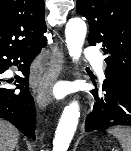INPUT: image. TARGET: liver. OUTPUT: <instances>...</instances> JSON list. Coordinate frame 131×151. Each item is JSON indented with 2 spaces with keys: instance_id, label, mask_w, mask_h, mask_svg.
Instances as JSON below:
<instances>
[{
  "instance_id": "liver-1",
  "label": "liver",
  "mask_w": 131,
  "mask_h": 151,
  "mask_svg": "<svg viewBox=\"0 0 131 151\" xmlns=\"http://www.w3.org/2000/svg\"><path fill=\"white\" fill-rule=\"evenodd\" d=\"M18 139V130L10 123L0 120V151H14Z\"/></svg>"
}]
</instances>
